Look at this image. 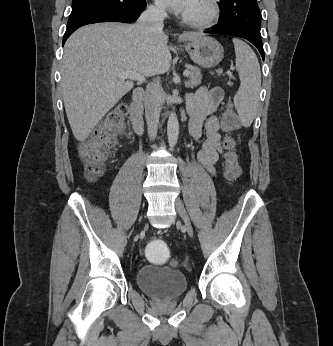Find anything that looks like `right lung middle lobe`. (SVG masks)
Masks as SVG:
<instances>
[{
  "label": "right lung middle lobe",
  "mask_w": 333,
  "mask_h": 346,
  "mask_svg": "<svg viewBox=\"0 0 333 346\" xmlns=\"http://www.w3.org/2000/svg\"><path fill=\"white\" fill-rule=\"evenodd\" d=\"M138 0H72V12L69 18L94 9H114L126 11L137 4Z\"/></svg>",
  "instance_id": "1"
}]
</instances>
